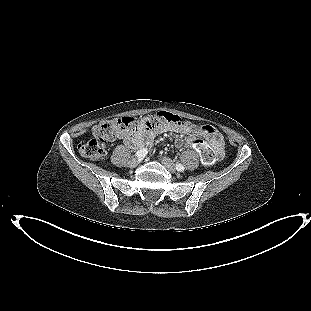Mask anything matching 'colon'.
<instances>
[{
  "label": "colon",
  "instance_id": "5ec220e1",
  "mask_svg": "<svg viewBox=\"0 0 311 311\" xmlns=\"http://www.w3.org/2000/svg\"><path fill=\"white\" fill-rule=\"evenodd\" d=\"M157 124H169L175 126H182L187 129H191V124L183 120L178 115L160 111L156 114ZM139 123L135 117L132 116H122L113 119L103 120L93 127L92 135L89 139L79 146V152L85 158L91 160H97L105 156L107 143L126 137L133 130H135ZM204 131H197L196 137L193 139L199 148V153L202 160L211 164L216 159H220L224 155L223 148L220 150H215L204 143Z\"/></svg>",
  "mask_w": 311,
  "mask_h": 311
}]
</instances>
